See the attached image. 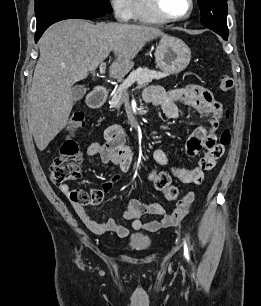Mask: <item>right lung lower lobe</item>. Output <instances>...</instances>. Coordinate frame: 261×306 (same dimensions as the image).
I'll return each instance as SVG.
<instances>
[{
	"label": "right lung lower lobe",
	"mask_w": 261,
	"mask_h": 306,
	"mask_svg": "<svg viewBox=\"0 0 261 306\" xmlns=\"http://www.w3.org/2000/svg\"><path fill=\"white\" fill-rule=\"evenodd\" d=\"M106 12L73 8L49 4H35V15L37 19V29L35 33V42H37L44 31L53 23L71 19H94L105 15Z\"/></svg>",
	"instance_id": "right-lung-lower-lobe-1"
}]
</instances>
